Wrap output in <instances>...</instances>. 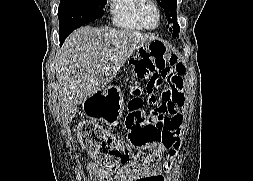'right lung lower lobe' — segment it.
Listing matches in <instances>:
<instances>
[{"mask_svg": "<svg viewBox=\"0 0 253 181\" xmlns=\"http://www.w3.org/2000/svg\"><path fill=\"white\" fill-rule=\"evenodd\" d=\"M68 35H69V34H61V35H59L60 45L63 44L64 40L66 39V37H67Z\"/></svg>", "mask_w": 253, "mask_h": 181, "instance_id": "1", "label": "right lung lower lobe"}]
</instances>
